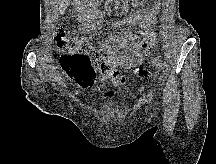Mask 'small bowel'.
<instances>
[{"mask_svg": "<svg viewBox=\"0 0 216 164\" xmlns=\"http://www.w3.org/2000/svg\"><path fill=\"white\" fill-rule=\"evenodd\" d=\"M158 8V4L145 7L133 13L126 20L118 21L116 26L126 24L130 31L125 35L110 34L100 43L98 52L91 46L87 53L100 58L107 67L102 72L103 81H110L115 86L123 84L125 78L120 73V68H136L155 53L157 42L154 26ZM136 26L139 28L133 30ZM114 94L115 90H110L105 93V97H112Z\"/></svg>", "mask_w": 216, "mask_h": 164, "instance_id": "obj_1", "label": "small bowel"}]
</instances>
